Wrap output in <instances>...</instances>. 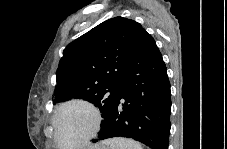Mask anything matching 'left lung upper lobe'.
Masks as SVG:
<instances>
[{
  "label": "left lung upper lobe",
  "instance_id": "5c2ea615",
  "mask_svg": "<svg viewBox=\"0 0 227 149\" xmlns=\"http://www.w3.org/2000/svg\"><path fill=\"white\" fill-rule=\"evenodd\" d=\"M142 31L136 21L115 17L67 45L57 69L53 103L83 98L104 118L120 93Z\"/></svg>",
  "mask_w": 227,
  "mask_h": 149
}]
</instances>
